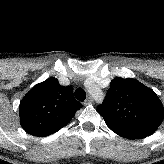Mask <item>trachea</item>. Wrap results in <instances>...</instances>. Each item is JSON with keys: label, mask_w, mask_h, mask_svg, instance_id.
I'll return each instance as SVG.
<instances>
[{"label": "trachea", "mask_w": 164, "mask_h": 164, "mask_svg": "<svg viewBox=\"0 0 164 164\" xmlns=\"http://www.w3.org/2000/svg\"><path fill=\"white\" fill-rule=\"evenodd\" d=\"M75 97L79 101L83 102L86 99V93L82 88H78L75 91Z\"/></svg>", "instance_id": "trachea-1"}]
</instances>
